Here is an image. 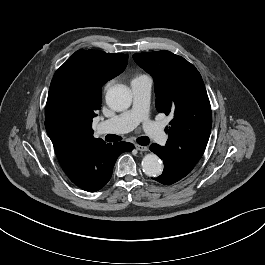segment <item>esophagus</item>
<instances>
[{"label": "esophagus", "mask_w": 265, "mask_h": 265, "mask_svg": "<svg viewBox=\"0 0 265 265\" xmlns=\"http://www.w3.org/2000/svg\"><path fill=\"white\" fill-rule=\"evenodd\" d=\"M135 148L138 150V151H141V152H145L148 150V147L147 146H142V145H139V144H136L135 145Z\"/></svg>", "instance_id": "obj_1"}]
</instances>
